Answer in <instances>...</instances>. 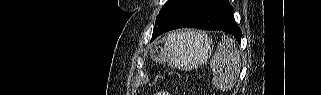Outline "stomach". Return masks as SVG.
<instances>
[{"mask_svg":"<svg viewBox=\"0 0 321 95\" xmlns=\"http://www.w3.org/2000/svg\"><path fill=\"white\" fill-rule=\"evenodd\" d=\"M213 50L212 40L196 31L173 32L163 44L155 45L153 56L159 62L179 68H193L208 59Z\"/></svg>","mask_w":321,"mask_h":95,"instance_id":"0dacf381","label":"stomach"}]
</instances>
